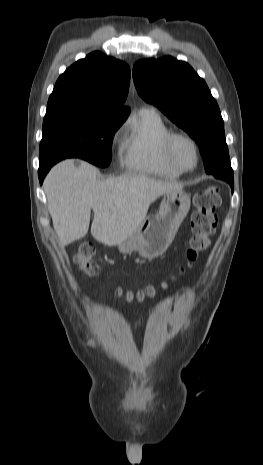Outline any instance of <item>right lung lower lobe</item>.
<instances>
[{
	"label": "right lung lower lobe",
	"mask_w": 263,
	"mask_h": 465,
	"mask_svg": "<svg viewBox=\"0 0 263 465\" xmlns=\"http://www.w3.org/2000/svg\"><path fill=\"white\" fill-rule=\"evenodd\" d=\"M49 169L50 168H46V167L41 168V167H39L38 175H39L40 183L43 182V179H44L46 173L49 171Z\"/></svg>",
	"instance_id": "1"
}]
</instances>
